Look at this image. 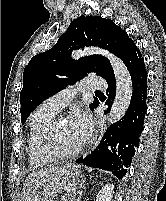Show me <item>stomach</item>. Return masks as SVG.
<instances>
[{
    "mask_svg": "<svg viewBox=\"0 0 166 201\" xmlns=\"http://www.w3.org/2000/svg\"><path fill=\"white\" fill-rule=\"evenodd\" d=\"M78 174L79 170L75 165L68 164L58 168V170L47 178L37 189L33 201H52L65 186H70L75 182Z\"/></svg>",
    "mask_w": 166,
    "mask_h": 201,
    "instance_id": "0dacf381",
    "label": "stomach"
}]
</instances>
